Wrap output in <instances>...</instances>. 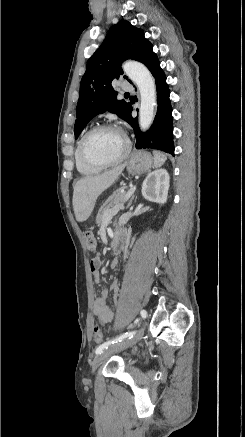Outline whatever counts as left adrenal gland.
I'll return each mask as SVG.
<instances>
[{
  "mask_svg": "<svg viewBox=\"0 0 245 437\" xmlns=\"http://www.w3.org/2000/svg\"><path fill=\"white\" fill-rule=\"evenodd\" d=\"M134 198H135V195L132 196L131 200L129 201V203H128V205H127V208H129V207L131 206L132 201H133Z\"/></svg>",
  "mask_w": 245,
  "mask_h": 437,
  "instance_id": "1",
  "label": "left adrenal gland"
}]
</instances>
